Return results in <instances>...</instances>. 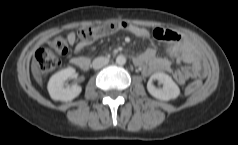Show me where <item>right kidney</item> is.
Returning <instances> with one entry per match:
<instances>
[{
  "label": "right kidney",
  "mask_w": 238,
  "mask_h": 145,
  "mask_svg": "<svg viewBox=\"0 0 238 145\" xmlns=\"http://www.w3.org/2000/svg\"><path fill=\"white\" fill-rule=\"evenodd\" d=\"M76 76V70L73 67L62 69L55 73L49 80L48 92L53 100L59 101H71L76 98L82 91L81 86H64L65 81L68 78H74Z\"/></svg>",
  "instance_id": "obj_1"
}]
</instances>
